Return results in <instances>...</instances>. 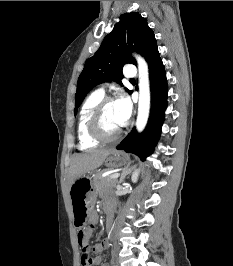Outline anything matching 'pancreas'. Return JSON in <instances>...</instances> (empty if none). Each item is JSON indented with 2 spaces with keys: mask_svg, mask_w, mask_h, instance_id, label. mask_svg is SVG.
<instances>
[{
  "mask_svg": "<svg viewBox=\"0 0 233 266\" xmlns=\"http://www.w3.org/2000/svg\"><path fill=\"white\" fill-rule=\"evenodd\" d=\"M117 179H111L110 176L102 177L101 173H97L93 177V186L97 192L102 191L105 188L115 187Z\"/></svg>",
  "mask_w": 233,
  "mask_h": 266,
  "instance_id": "cf45deb5",
  "label": "pancreas"
}]
</instances>
